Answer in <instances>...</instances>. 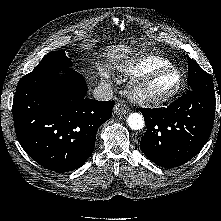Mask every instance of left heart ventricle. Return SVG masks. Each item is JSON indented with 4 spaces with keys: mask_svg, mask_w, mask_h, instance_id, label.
<instances>
[{
    "mask_svg": "<svg viewBox=\"0 0 221 221\" xmlns=\"http://www.w3.org/2000/svg\"><path fill=\"white\" fill-rule=\"evenodd\" d=\"M178 81V76L175 73H166L163 75L158 76L155 80H153L148 90L152 93H164L176 85Z\"/></svg>",
    "mask_w": 221,
    "mask_h": 221,
    "instance_id": "left-heart-ventricle-1",
    "label": "left heart ventricle"
}]
</instances>
